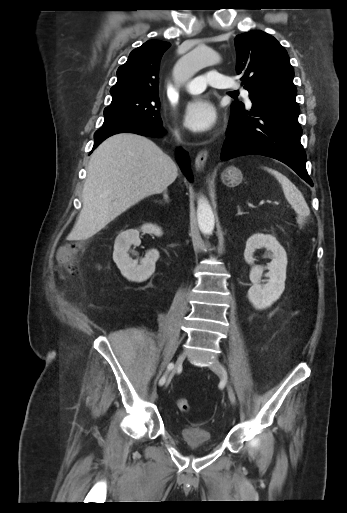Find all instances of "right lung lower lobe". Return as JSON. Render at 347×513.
Masks as SVG:
<instances>
[{
    "instance_id": "98d812e1",
    "label": "right lung lower lobe",
    "mask_w": 347,
    "mask_h": 513,
    "mask_svg": "<svg viewBox=\"0 0 347 513\" xmlns=\"http://www.w3.org/2000/svg\"><path fill=\"white\" fill-rule=\"evenodd\" d=\"M136 133L144 136H161L165 130L162 124H151L140 120H122L103 125L94 135L93 150L106 138L117 133ZM177 161L186 177L191 181L192 174L190 169L189 157L182 149H177Z\"/></svg>"
}]
</instances>
